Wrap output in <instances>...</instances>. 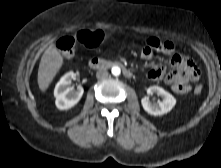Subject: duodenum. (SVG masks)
<instances>
[{
    "label": "duodenum",
    "instance_id": "duodenum-1",
    "mask_svg": "<svg viewBox=\"0 0 221 168\" xmlns=\"http://www.w3.org/2000/svg\"><path fill=\"white\" fill-rule=\"evenodd\" d=\"M88 64H89V67L94 70H102V69H108L112 67H119L122 70L123 75L125 77L131 78L133 76L132 71L120 61H110V60H103L100 58H91Z\"/></svg>",
    "mask_w": 221,
    "mask_h": 168
}]
</instances>
